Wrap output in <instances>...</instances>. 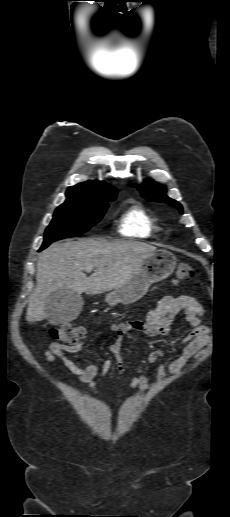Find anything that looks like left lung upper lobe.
<instances>
[{
    "label": "left lung upper lobe",
    "instance_id": "1",
    "mask_svg": "<svg viewBox=\"0 0 230 517\" xmlns=\"http://www.w3.org/2000/svg\"><path fill=\"white\" fill-rule=\"evenodd\" d=\"M145 193L143 197L152 202H161L167 203L171 206L176 207L181 213H183V208L179 202L173 200L166 196L165 187L155 183L153 180L148 181L143 187Z\"/></svg>",
    "mask_w": 230,
    "mask_h": 517
}]
</instances>
